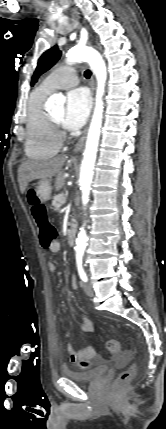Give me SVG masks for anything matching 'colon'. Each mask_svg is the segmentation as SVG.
<instances>
[{
	"label": "colon",
	"mask_w": 166,
	"mask_h": 429,
	"mask_svg": "<svg viewBox=\"0 0 166 429\" xmlns=\"http://www.w3.org/2000/svg\"><path fill=\"white\" fill-rule=\"evenodd\" d=\"M29 201L33 218L39 228L41 245L44 248H48L56 239V228L48 219L46 207L38 200L33 191L29 192ZM106 347L110 352H119L121 343L116 339H111L106 342ZM135 373V365L121 372L115 380V387L122 388L127 385L133 379Z\"/></svg>",
	"instance_id": "5ec220e1"
}]
</instances>
